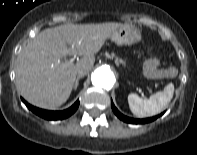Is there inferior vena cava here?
I'll use <instances>...</instances> for the list:
<instances>
[{
	"label": "inferior vena cava",
	"instance_id": "1",
	"mask_svg": "<svg viewBox=\"0 0 197 155\" xmlns=\"http://www.w3.org/2000/svg\"><path fill=\"white\" fill-rule=\"evenodd\" d=\"M87 73H88V71L86 69H80L77 72V76L82 77V76L86 75Z\"/></svg>",
	"mask_w": 197,
	"mask_h": 155
}]
</instances>
